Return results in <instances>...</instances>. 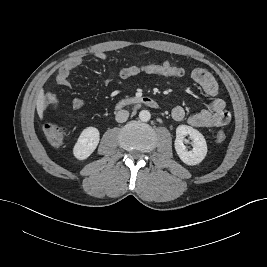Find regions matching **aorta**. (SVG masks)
<instances>
[{
    "instance_id": "762f6f07",
    "label": "aorta",
    "mask_w": 267,
    "mask_h": 267,
    "mask_svg": "<svg viewBox=\"0 0 267 267\" xmlns=\"http://www.w3.org/2000/svg\"><path fill=\"white\" fill-rule=\"evenodd\" d=\"M151 118V114L148 110H142L140 113H139V119L143 122H147L149 121Z\"/></svg>"
}]
</instances>
